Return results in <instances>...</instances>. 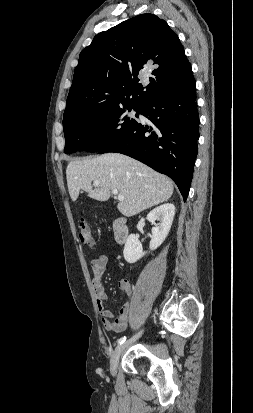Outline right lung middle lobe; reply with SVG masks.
<instances>
[{"label":"right lung middle lobe","mask_w":253,"mask_h":413,"mask_svg":"<svg viewBox=\"0 0 253 413\" xmlns=\"http://www.w3.org/2000/svg\"><path fill=\"white\" fill-rule=\"evenodd\" d=\"M134 107H120L74 118L63 124L65 153L98 152L128 133L138 122L125 113ZM134 110L139 111L138 107Z\"/></svg>","instance_id":"obj_1"}]
</instances>
